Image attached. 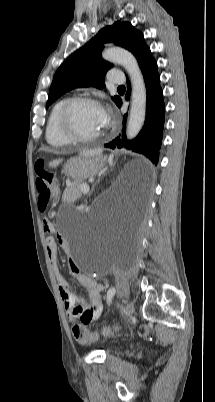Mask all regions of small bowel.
Wrapping results in <instances>:
<instances>
[{"instance_id": "obj_1", "label": "small bowel", "mask_w": 215, "mask_h": 402, "mask_svg": "<svg viewBox=\"0 0 215 402\" xmlns=\"http://www.w3.org/2000/svg\"><path fill=\"white\" fill-rule=\"evenodd\" d=\"M48 225L49 226L46 227L45 223H43L44 230L48 233H55L56 230L51 221L48 223ZM58 245L64 250H66L68 247L66 240L60 233H57L55 238L53 236L46 238L48 256L54 270L59 294L61 296L67 318L70 321L84 322V324L97 320L103 311L101 294L104 289V285L94 278L82 274L78 267L74 263H71L70 274L75 277L86 289L88 293V303L77 297L71 291L66 277L59 269ZM88 311H91V314L85 321H83Z\"/></svg>"}]
</instances>
